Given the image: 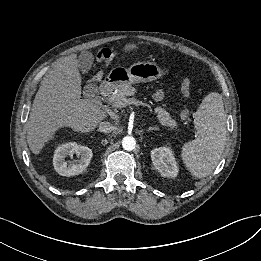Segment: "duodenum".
I'll use <instances>...</instances> for the list:
<instances>
[{
	"label": "duodenum",
	"instance_id": "duodenum-1",
	"mask_svg": "<svg viewBox=\"0 0 261 261\" xmlns=\"http://www.w3.org/2000/svg\"><path fill=\"white\" fill-rule=\"evenodd\" d=\"M113 85L107 79H104L99 84V91L101 96L106 97L112 91Z\"/></svg>",
	"mask_w": 261,
	"mask_h": 261
}]
</instances>
